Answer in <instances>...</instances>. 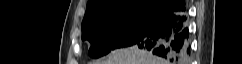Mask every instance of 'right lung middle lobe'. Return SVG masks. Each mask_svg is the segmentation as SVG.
Returning a JSON list of instances; mask_svg holds the SVG:
<instances>
[{
    "label": "right lung middle lobe",
    "mask_w": 242,
    "mask_h": 64,
    "mask_svg": "<svg viewBox=\"0 0 242 64\" xmlns=\"http://www.w3.org/2000/svg\"><path fill=\"white\" fill-rule=\"evenodd\" d=\"M161 13L148 9H134L97 17L82 24V40L92 46L89 56L98 58L110 51L134 45L154 27Z\"/></svg>",
    "instance_id": "dd1d6c3e"
}]
</instances>
